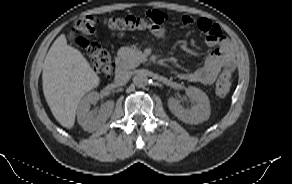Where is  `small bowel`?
<instances>
[{"mask_svg":"<svg viewBox=\"0 0 292 184\" xmlns=\"http://www.w3.org/2000/svg\"><path fill=\"white\" fill-rule=\"evenodd\" d=\"M160 13H163L159 11ZM182 22L185 25H197L206 35V44L208 47H216L205 59L203 65L192 71L181 73L180 79L185 81L199 83L203 85L212 84L222 71L233 72L236 67L237 54L231 41L222 35V31L216 23L204 17H195L192 15H183ZM153 34L162 38L166 35V30L161 27Z\"/></svg>","mask_w":292,"mask_h":184,"instance_id":"c3829d8e","label":"small bowel"}]
</instances>
